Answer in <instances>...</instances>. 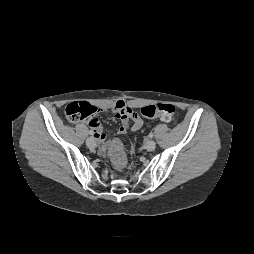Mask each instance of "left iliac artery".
Instances as JSON below:
<instances>
[{"label":"left iliac artery","mask_w":254,"mask_h":254,"mask_svg":"<svg viewBox=\"0 0 254 254\" xmlns=\"http://www.w3.org/2000/svg\"><path fill=\"white\" fill-rule=\"evenodd\" d=\"M149 137H150V138L153 137V133H152V132L149 133Z\"/></svg>","instance_id":"left-iliac-artery-1"}]
</instances>
